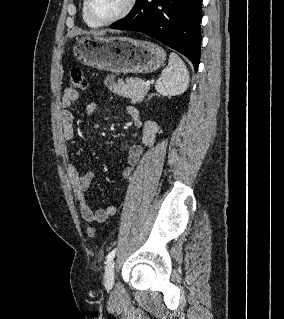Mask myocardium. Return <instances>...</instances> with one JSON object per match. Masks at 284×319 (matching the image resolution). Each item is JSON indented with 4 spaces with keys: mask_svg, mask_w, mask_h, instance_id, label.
<instances>
[{
    "mask_svg": "<svg viewBox=\"0 0 284 319\" xmlns=\"http://www.w3.org/2000/svg\"><path fill=\"white\" fill-rule=\"evenodd\" d=\"M90 1L91 0H84V11H85V14H86L87 18L91 22H93L94 24H96L98 26L111 25L113 23H116V22L124 19L133 10L135 2H136V0H126L124 7L122 8V10L117 15H115L114 17H112V18H110L108 20H99V19L95 18L92 15V13H91Z\"/></svg>",
    "mask_w": 284,
    "mask_h": 319,
    "instance_id": "myocardium-1",
    "label": "myocardium"
}]
</instances>
